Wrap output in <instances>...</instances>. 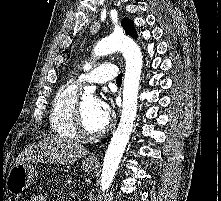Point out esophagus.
<instances>
[{"label": "esophagus", "instance_id": "1", "mask_svg": "<svg viewBox=\"0 0 221 201\" xmlns=\"http://www.w3.org/2000/svg\"><path fill=\"white\" fill-rule=\"evenodd\" d=\"M90 161L91 162H97L98 161V157L93 155V156L90 157Z\"/></svg>", "mask_w": 221, "mask_h": 201}]
</instances>
